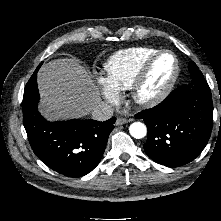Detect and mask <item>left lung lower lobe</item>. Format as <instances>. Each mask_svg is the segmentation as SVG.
I'll list each match as a JSON object with an SVG mask.
<instances>
[{"mask_svg": "<svg viewBox=\"0 0 221 221\" xmlns=\"http://www.w3.org/2000/svg\"><path fill=\"white\" fill-rule=\"evenodd\" d=\"M173 90L160 104L135 116L147 128L146 154L155 162L179 167L206 146L213 124L211 90L205 79Z\"/></svg>", "mask_w": 221, "mask_h": 221, "instance_id": "obj_1", "label": "left lung lower lobe"}]
</instances>
